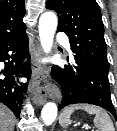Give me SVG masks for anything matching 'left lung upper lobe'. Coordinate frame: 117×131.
Instances as JSON below:
<instances>
[{"label":"left lung upper lobe","mask_w":117,"mask_h":131,"mask_svg":"<svg viewBox=\"0 0 117 131\" xmlns=\"http://www.w3.org/2000/svg\"><path fill=\"white\" fill-rule=\"evenodd\" d=\"M46 8L59 15L58 31L69 36L74 58L93 66L108 78L104 25L96 0H48Z\"/></svg>","instance_id":"5c2ea615"}]
</instances>
